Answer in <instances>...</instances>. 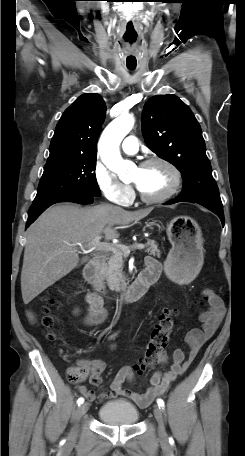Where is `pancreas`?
Instances as JSON below:
<instances>
[{"label":"pancreas","instance_id":"pancreas-1","mask_svg":"<svg viewBox=\"0 0 245 456\" xmlns=\"http://www.w3.org/2000/svg\"><path fill=\"white\" fill-rule=\"evenodd\" d=\"M146 252L150 255L160 258L161 252L158 249V245L154 240L147 239ZM127 256L120 247H117V251L108 255V261L102 269V278L106 281L111 291H120L126 287V277L122 270L124 261L123 258Z\"/></svg>","mask_w":245,"mask_h":456}]
</instances>
